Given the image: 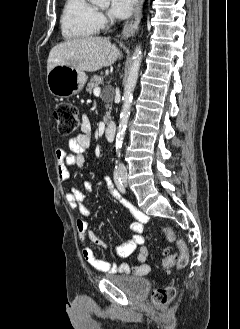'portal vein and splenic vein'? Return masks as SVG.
Instances as JSON below:
<instances>
[{"mask_svg": "<svg viewBox=\"0 0 240 329\" xmlns=\"http://www.w3.org/2000/svg\"><path fill=\"white\" fill-rule=\"evenodd\" d=\"M100 93H101V89H100V87H96V88H94V90H93V94H94L95 96H99Z\"/></svg>", "mask_w": 240, "mask_h": 329, "instance_id": "obj_1", "label": "portal vein and splenic vein"}]
</instances>
